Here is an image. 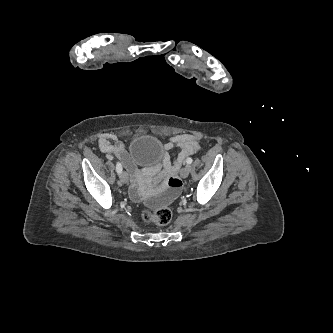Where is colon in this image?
<instances>
[{
    "label": "colon",
    "mask_w": 333,
    "mask_h": 333,
    "mask_svg": "<svg viewBox=\"0 0 333 333\" xmlns=\"http://www.w3.org/2000/svg\"><path fill=\"white\" fill-rule=\"evenodd\" d=\"M142 218L145 222L156 225L168 224L172 219L171 210L168 207H160L156 209H143Z\"/></svg>",
    "instance_id": "colon-1"
}]
</instances>
